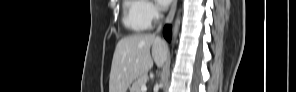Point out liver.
<instances>
[{
	"label": "liver",
	"mask_w": 296,
	"mask_h": 92,
	"mask_svg": "<svg viewBox=\"0 0 296 92\" xmlns=\"http://www.w3.org/2000/svg\"><path fill=\"white\" fill-rule=\"evenodd\" d=\"M167 53L166 42L154 35L134 34L119 40L111 65L109 92H127L135 79L148 73L153 61L162 67Z\"/></svg>",
	"instance_id": "liver-1"
}]
</instances>
